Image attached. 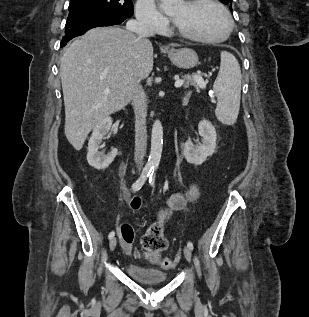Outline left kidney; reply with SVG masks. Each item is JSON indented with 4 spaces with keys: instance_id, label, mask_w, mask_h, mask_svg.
Segmentation results:
<instances>
[{
    "instance_id": "left-kidney-1",
    "label": "left kidney",
    "mask_w": 309,
    "mask_h": 317,
    "mask_svg": "<svg viewBox=\"0 0 309 317\" xmlns=\"http://www.w3.org/2000/svg\"><path fill=\"white\" fill-rule=\"evenodd\" d=\"M199 136L202 141L195 145L188 140L183 145V155L188 163L201 165L208 156L215 152L217 134L215 127L208 120H202L198 125Z\"/></svg>"
}]
</instances>
